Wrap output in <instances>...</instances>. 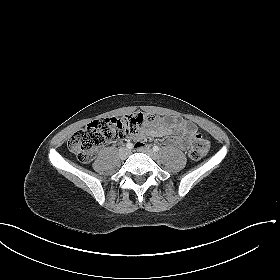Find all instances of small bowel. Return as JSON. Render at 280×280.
<instances>
[{
    "label": "small bowel",
    "instance_id": "c3829d8e",
    "mask_svg": "<svg viewBox=\"0 0 280 280\" xmlns=\"http://www.w3.org/2000/svg\"><path fill=\"white\" fill-rule=\"evenodd\" d=\"M197 131L196 126L183 119L168 120L166 118L159 117L155 123L147 128L140 130L133 135V138L137 141H141L144 137H165L179 132L178 143L186 148L192 135ZM143 144L138 142L137 147H141Z\"/></svg>",
    "mask_w": 280,
    "mask_h": 280
}]
</instances>
